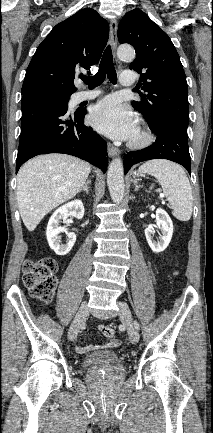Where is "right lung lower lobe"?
Returning <instances> with one entry per match:
<instances>
[{"label":"right lung lower lobe","instance_id":"obj_1","mask_svg":"<svg viewBox=\"0 0 213 433\" xmlns=\"http://www.w3.org/2000/svg\"><path fill=\"white\" fill-rule=\"evenodd\" d=\"M21 104L16 172L28 159L47 153L77 156L106 172L107 144L91 127L84 125L85 109L69 114L67 107L60 103L34 95H24Z\"/></svg>","mask_w":213,"mask_h":433}]
</instances>
